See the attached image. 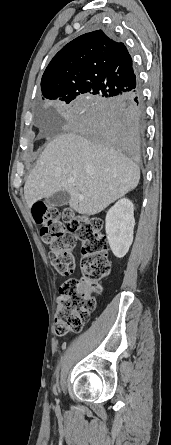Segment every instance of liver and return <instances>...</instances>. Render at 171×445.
<instances>
[{
    "label": "liver",
    "instance_id": "1",
    "mask_svg": "<svg viewBox=\"0 0 171 445\" xmlns=\"http://www.w3.org/2000/svg\"><path fill=\"white\" fill-rule=\"evenodd\" d=\"M69 178H74L75 183H69ZM139 179L138 165L114 152L106 142L63 133L43 150L25 182L24 196L31 208L42 198L66 191L72 209L95 215L136 188Z\"/></svg>",
    "mask_w": 171,
    "mask_h": 445
}]
</instances>
